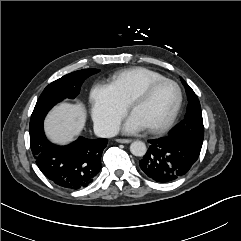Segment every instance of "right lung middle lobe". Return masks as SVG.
Masks as SVG:
<instances>
[{"instance_id": "right-lung-middle-lobe-1", "label": "right lung middle lobe", "mask_w": 241, "mask_h": 241, "mask_svg": "<svg viewBox=\"0 0 241 241\" xmlns=\"http://www.w3.org/2000/svg\"><path fill=\"white\" fill-rule=\"evenodd\" d=\"M98 72V69L78 70L63 76L46 86L31 115L29 130L34 129L39 124L43 123L48 111L58 102L65 98H75L79 94L80 87L84 80Z\"/></svg>"}]
</instances>
